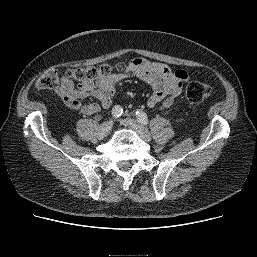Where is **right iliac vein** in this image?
I'll use <instances>...</instances> for the list:
<instances>
[{"label": "right iliac vein", "mask_w": 257, "mask_h": 257, "mask_svg": "<svg viewBox=\"0 0 257 257\" xmlns=\"http://www.w3.org/2000/svg\"><path fill=\"white\" fill-rule=\"evenodd\" d=\"M113 127V121L109 120L102 123L99 127L98 136L99 138H104L109 135Z\"/></svg>", "instance_id": "right-iliac-vein-1"}]
</instances>
